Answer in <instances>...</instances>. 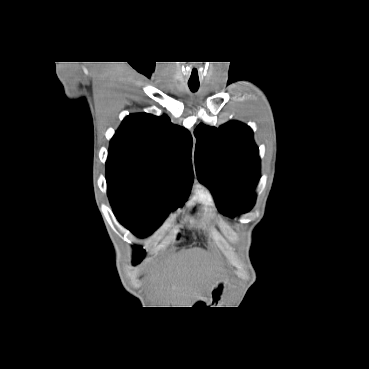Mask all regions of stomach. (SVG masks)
<instances>
[{"label":"stomach","mask_w":369,"mask_h":369,"mask_svg":"<svg viewBox=\"0 0 369 369\" xmlns=\"http://www.w3.org/2000/svg\"><path fill=\"white\" fill-rule=\"evenodd\" d=\"M226 282L221 280L215 284V286L212 288V295L213 298H218L222 295L224 289H225Z\"/></svg>","instance_id":"1"}]
</instances>
